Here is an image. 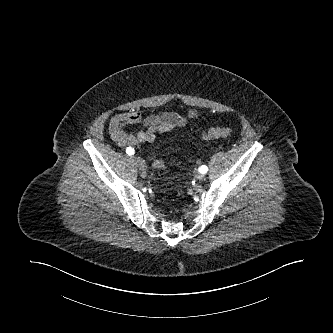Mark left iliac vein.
<instances>
[{
    "instance_id": "left-iliac-vein-1",
    "label": "left iliac vein",
    "mask_w": 333,
    "mask_h": 333,
    "mask_svg": "<svg viewBox=\"0 0 333 333\" xmlns=\"http://www.w3.org/2000/svg\"><path fill=\"white\" fill-rule=\"evenodd\" d=\"M195 177H196L198 180H202V179L204 178V174H203V173H200V172H196Z\"/></svg>"
}]
</instances>
